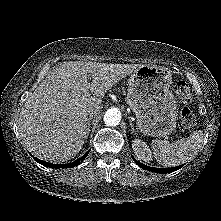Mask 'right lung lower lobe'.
I'll return each mask as SVG.
<instances>
[{
	"label": "right lung lower lobe",
	"instance_id": "98d812e1",
	"mask_svg": "<svg viewBox=\"0 0 221 221\" xmlns=\"http://www.w3.org/2000/svg\"><path fill=\"white\" fill-rule=\"evenodd\" d=\"M87 155H88V152L85 155H83L81 158H79V159H77L74 162L69 163V164H51V163L45 162L43 160H40L38 158H35V157H33V158H35V160L37 162H39L40 164H42V165H44L46 167H51V168H70V167H74V166L79 165L87 157Z\"/></svg>",
	"mask_w": 221,
	"mask_h": 221
}]
</instances>
